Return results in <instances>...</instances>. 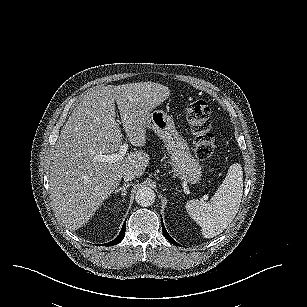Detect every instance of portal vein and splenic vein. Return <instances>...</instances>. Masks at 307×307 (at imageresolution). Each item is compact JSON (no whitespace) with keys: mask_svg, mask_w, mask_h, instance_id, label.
I'll list each match as a JSON object with an SVG mask.
<instances>
[{"mask_svg":"<svg viewBox=\"0 0 307 307\" xmlns=\"http://www.w3.org/2000/svg\"><path fill=\"white\" fill-rule=\"evenodd\" d=\"M127 152H128V145H122L120 146V149L117 153L101 155L98 157V159L106 163H114L125 160Z\"/></svg>","mask_w":307,"mask_h":307,"instance_id":"portal-vein-and-splenic-vein-1","label":"portal vein and splenic vein"}]
</instances>
